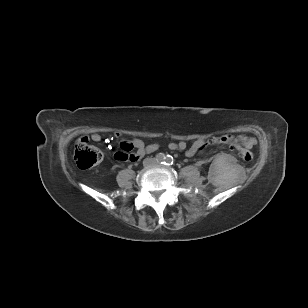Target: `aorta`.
<instances>
[{"label": "aorta", "mask_w": 308, "mask_h": 308, "mask_svg": "<svg viewBox=\"0 0 308 308\" xmlns=\"http://www.w3.org/2000/svg\"><path fill=\"white\" fill-rule=\"evenodd\" d=\"M169 162H171L172 161V158H169V159H167Z\"/></svg>", "instance_id": "1"}]
</instances>
